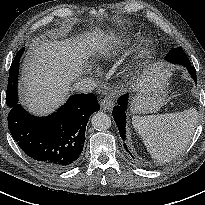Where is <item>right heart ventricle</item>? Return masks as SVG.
I'll return each instance as SVG.
<instances>
[{"mask_svg": "<svg viewBox=\"0 0 205 205\" xmlns=\"http://www.w3.org/2000/svg\"><path fill=\"white\" fill-rule=\"evenodd\" d=\"M129 41V38L127 35L121 32H115L112 35V42L100 49V51L97 53L96 58L97 61L105 62L113 59L115 55L118 53L119 48L125 43Z\"/></svg>", "mask_w": 205, "mask_h": 205, "instance_id": "right-heart-ventricle-1", "label": "right heart ventricle"}]
</instances>
